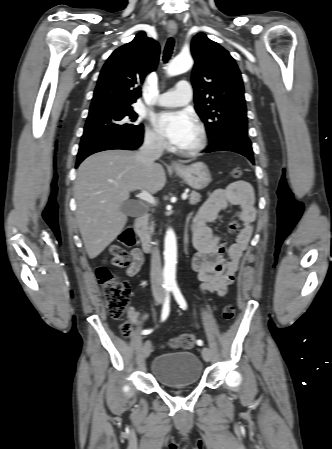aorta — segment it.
Instances as JSON below:
<instances>
[{
  "label": "aorta",
  "mask_w": 332,
  "mask_h": 449,
  "mask_svg": "<svg viewBox=\"0 0 332 449\" xmlns=\"http://www.w3.org/2000/svg\"><path fill=\"white\" fill-rule=\"evenodd\" d=\"M193 60L190 55H178L167 67L168 76H176L191 69ZM177 241L175 232L168 229L164 239L163 278L167 285H176Z\"/></svg>",
  "instance_id": "obj_1"
}]
</instances>
